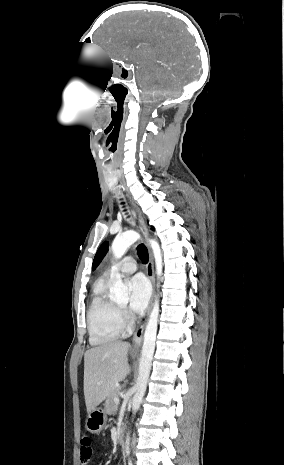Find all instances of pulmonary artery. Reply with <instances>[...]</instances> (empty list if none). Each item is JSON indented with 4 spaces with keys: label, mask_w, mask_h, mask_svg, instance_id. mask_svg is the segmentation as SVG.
I'll list each match as a JSON object with an SVG mask.
<instances>
[{
    "label": "pulmonary artery",
    "mask_w": 284,
    "mask_h": 465,
    "mask_svg": "<svg viewBox=\"0 0 284 465\" xmlns=\"http://www.w3.org/2000/svg\"><path fill=\"white\" fill-rule=\"evenodd\" d=\"M137 269V264L133 256L126 255L124 261L117 265L115 268H110L104 272V277L110 279L114 274L119 275H130L134 273Z\"/></svg>",
    "instance_id": "e3ab8cb5"
}]
</instances>
